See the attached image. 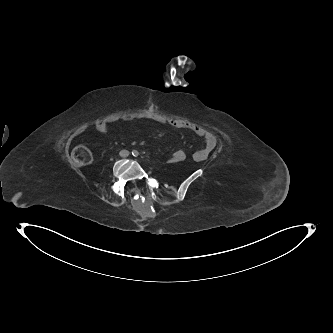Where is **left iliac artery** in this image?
I'll return each instance as SVG.
<instances>
[{
	"label": "left iliac artery",
	"instance_id": "1",
	"mask_svg": "<svg viewBox=\"0 0 333 333\" xmlns=\"http://www.w3.org/2000/svg\"><path fill=\"white\" fill-rule=\"evenodd\" d=\"M132 155L135 156V157H137L138 156V152L137 151H133Z\"/></svg>",
	"mask_w": 333,
	"mask_h": 333
}]
</instances>
